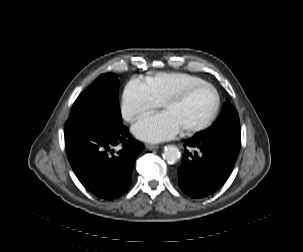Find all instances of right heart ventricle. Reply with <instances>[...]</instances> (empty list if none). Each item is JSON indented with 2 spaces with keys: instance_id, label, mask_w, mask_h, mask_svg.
<instances>
[{
  "instance_id": "e07e8e85",
  "label": "right heart ventricle",
  "mask_w": 303,
  "mask_h": 252,
  "mask_svg": "<svg viewBox=\"0 0 303 252\" xmlns=\"http://www.w3.org/2000/svg\"><path fill=\"white\" fill-rule=\"evenodd\" d=\"M198 79L188 75H154L145 81L151 100L163 105L171 98L178 97L198 84Z\"/></svg>"
}]
</instances>
